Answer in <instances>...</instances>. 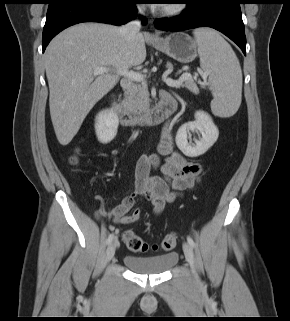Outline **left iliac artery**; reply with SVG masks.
I'll list each match as a JSON object with an SVG mask.
<instances>
[{
	"mask_svg": "<svg viewBox=\"0 0 290 321\" xmlns=\"http://www.w3.org/2000/svg\"><path fill=\"white\" fill-rule=\"evenodd\" d=\"M187 241L191 245V247H195V243H194L193 239L190 236L187 237Z\"/></svg>",
	"mask_w": 290,
	"mask_h": 321,
	"instance_id": "obj_1",
	"label": "left iliac artery"
}]
</instances>
